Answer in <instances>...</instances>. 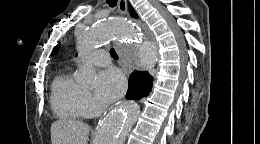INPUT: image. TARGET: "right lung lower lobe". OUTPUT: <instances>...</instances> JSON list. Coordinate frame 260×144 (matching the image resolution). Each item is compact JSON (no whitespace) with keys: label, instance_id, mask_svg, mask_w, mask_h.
<instances>
[{"label":"right lung lower lobe","instance_id":"obj_1","mask_svg":"<svg viewBox=\"0 0 260 144\" xmlns=\"http://www.w3.org/2000/svg\"><path fill=\"white\" fill-rule=\"evenodd\" d=\"M153 78L146 71H134L129 77L127 99H140L148 95L152 89Z\"/></svg>","mask_w":260,"mask_h":144}]
</instances>
